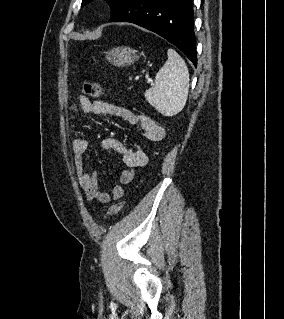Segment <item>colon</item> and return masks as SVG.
I'll return each mask as SVG.
<instances>
[{"mask_svg": "<svg viewBox=\"0 0 284 319\" xmlns=\"http://www.w3.org/2000/svg\"><path fill=\"white\" fill-rule=\"evenodd\" d=\"M82 90L84 94L91 98H100L104 94L103 88L95 82L91 81H84L82 84ZM124 206V202H118L114 205H112L106 212L104 219H107L115 214H117Z\"/></svg>", "mask_w": 284, "mask_h": 319, "instance_id": "1", "label": "colon"}]
</instances>
